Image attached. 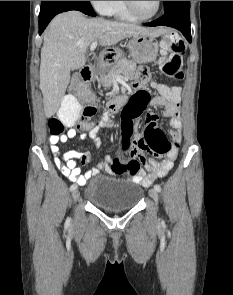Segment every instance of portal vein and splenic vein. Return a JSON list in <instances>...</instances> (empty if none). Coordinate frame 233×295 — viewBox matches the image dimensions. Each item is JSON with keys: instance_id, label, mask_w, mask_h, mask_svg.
Masks as SVG:
<instances>
[{"instance_id": "obj_1", "label": "portal vein and splenic vein", "mask_w": 233, "mask_h": 295, "mask_svg": "<svg viewBox=\"0 0 233 295\" xmlns=\"http://www.w3.org/2000/svg\"><path fill=\"white\" fill-rule=\"evenodd\" d=\"M97 47V41L93 42L91 45H90V51L93 52Z\"/></svg>"}]
</instances>
